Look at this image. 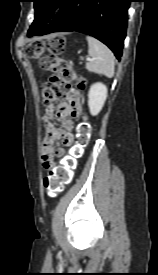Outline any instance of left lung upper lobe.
Returning <instances> with one entry per match:
<instances>
[{
  "mask_svg": "<svg viewBox=\"0 0 158 275\" xmlns=\"http://www.w3.org/2000/svg\"><path fill=\"white\" fill-rule=\"evenodd\" d=\"M64 0H34L35 20L30 26L28 36H33L43 29L44 25L53 15L54 8L58 7Z\"/></svg>",
  "mask_w": 158,
  "mask_h": 275,
  "instance_id": "obj_1",
  "label": "left lung upper lobe"
}]
</instances>
